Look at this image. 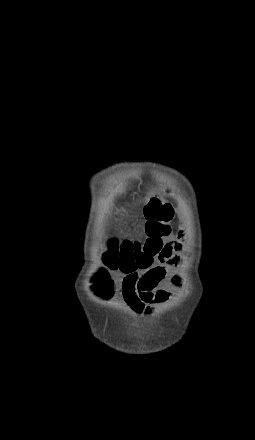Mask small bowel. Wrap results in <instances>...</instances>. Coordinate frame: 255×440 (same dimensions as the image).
Returning a JSON list of instances; mask_svg holds the SVG:
<instances>
[{"label":"small bowel","mask_w":255,"mask_h":440,"mask_svg":"<svg viewBox=\"0 0 255 440\" xmlns=\"http://www.w3.org/2000/svg\"><path fill=\"white\" fill-rule=\"evenodd\" d=\"M183 238L184 233L181 231L178 240L166 244L163 251L164 255L160 258L161 265L139 273H127L116 291L108 282L104 297L116 296L139 315H148L153 311L154 305L167 302L171 296V291L159 288L168 274V270L164 265L178 266L180 264L181 259L178 253L183 249ZM171 283L175 287H180L182 279L178 274H175L171 278Z\"/></svg>","instance_id":"small-bowel-1"}]
</instances>
